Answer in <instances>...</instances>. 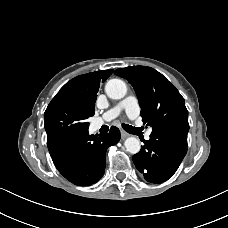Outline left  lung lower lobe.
<instances>
[{
  "label": "left lung lower lobe",
  "instance_id": "left-lung-lower-lobe-1",
  "mask_svg": "<svg viewBox=\"0 0 228 228\" xmlns=\"http://www.w3.org/2000/svg\"><path fill=\"white\" fill-rule=\"evenodd\" d=\"M133 162L144 178L162 183L173 176L187 152V137L174 131H152Z\"/></svg>",
  "mask_w": 228,
  "mask_h": 228
}]
</instances>
